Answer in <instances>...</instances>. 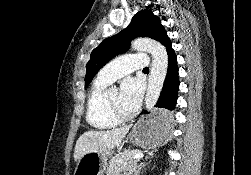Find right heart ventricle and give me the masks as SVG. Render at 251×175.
Returning a JSON list of instances; mask_svg holds the SVG:
<instances>
[{"label":"right heart ventricle","instance_id":"right-heart-ventricle-1","mask_svg":"<svg viewBox=\"0 0 251 175\" xmlns=\"http://www.w3.org/2000/svg\"><path fill=\"white\" fill-rule=\"evenodd\" d=\"M108 83L96 79L86 100V121L96 130H107L117 124V119L110 115L105 106Z\"/></svg>","mask_w":251,"mask_h":175}]
</instances>
